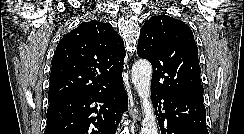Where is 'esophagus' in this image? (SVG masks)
Listing matches in <instances>:
<instances>
[{
  "instance_id": "1",
  "label": "esophagus",
  "mask_w": 244,
  "mask_h": 134,
  "mask_svg": "<svg viewBox=\"0 0 244 134\" xmlns=\"http://www.w3.org/2000/svg\"><path fill=\"white\" fill-rule=\"evenodd\" d=\"M129 114L133 118L134 121H138L139 120V110H138L137 107L130 108Z\"/></svg>"
}]
</instances>
